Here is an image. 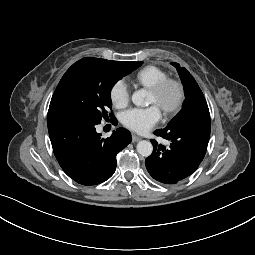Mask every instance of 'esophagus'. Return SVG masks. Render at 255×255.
Listing matches in <instances>:
<instances>
[{
	"mask_svg": "<svg viewBox=\"0 0 255 255\" xmlns=\"http://www.w3.org/2000/svg\"><path fill=\"white\" fill-rule=\"evenodd\" d=\"M141 138L139 136L136 135H132V142H138Z\"/></svg>",
	"mask_w": 255,
	"mask_h": 255,
	"instance_id": "1",
	"label": "esophagus"
}]
</instances>
